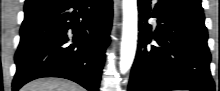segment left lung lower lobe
<instances>
[{"instance_id":"left-lung-lower-lobe-1","label":"left lung lower lobe","mask_w":220,"mask_h":91,"mask_svg":"<svg viewBox=\"0 0 220 91\" xmlns=\"http://www.w3.org/2000/svg\"><path fill=\"white\" fill-rule=\"evenodd\" d=\"M138 0L139 43L128 91H214L203 11L175 0ZM157 18L152 29L147 20Z\"/></svg>"}]
</instances>
